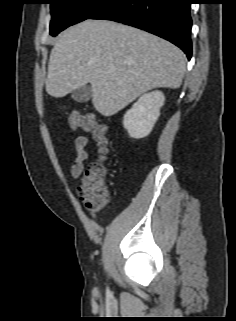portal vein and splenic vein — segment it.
<instances>
[{
  "label": "portal vein and splenic vein",
  "mask_w": 236,
  "mask_h": 321,
  "mask_svg": "<svg viewBox=\"0 0 236 321\" xmlns=\"http://www.w3.org/2000/svg\"><path fill=\"white\" fill-rule=\"evenodd\" d=\"M110 69H111V70H114V67H111Z\"/></svg>",
  "instance_id": "1"
}]
</instances>
